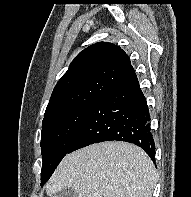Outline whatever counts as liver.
Instances as JSON below:
<instances>
[{"mask_svg": "<svg viewBox=\"0 0 191 197\" xmlns=\"http://www.w3.org/2000/svg\"><path fill=\"white\" fill-rule=\"evenodd\" d=\"M156 182L155 166L143 149L107 141L66 155L45 187L50 197L64 188L78 197H152Z\"/></svg>", "mask_w": 191, "mask_h": 197, "instance_id": "obj_1", "label": "liver"}]
</instances>
